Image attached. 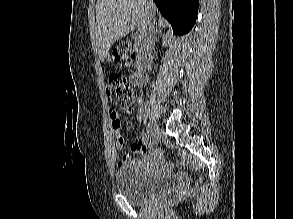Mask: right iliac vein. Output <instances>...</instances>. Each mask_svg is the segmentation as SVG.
Returning <instances> with one entry per match:
<instances>
[{
  "instance_id": "1",
  "label": "right iliac vein",
  "mask_w": 293,
  "mask_h": 219,
  "mask_svg": "<svg viewBox=\"0 0 293 219\" xmlns=\"http://www.w3.org/2000/svg\"><path fill=\"white\" fill-rule=\"evenodd\" d=\"M148 129L151 136H155L159 132V125L155 121H150Z\"/></svg>"
}]
</instances>
